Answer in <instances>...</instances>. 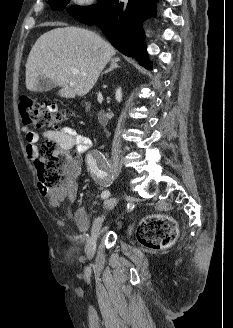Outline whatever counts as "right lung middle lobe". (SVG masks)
<instances>
[{
	"instance_id": "right-lung-middle-lobe-1",
	"label": "right lung middle lobe",
	"mask_w": 233,
	"mask_h": 328,
	"mask_svg": "<svg viewBox=\"0 0 233 328\" xmlns=\"http://www.w3.org/2000/svg\"><path fill=\"white\" fill-rule=\"evenodd\" d=\"M69 3V0H49L53 10H62ZM93 6V5H92ZM91 6L82 7V6H73L69 9L70 13L82 12L89 9Z\"/></svg>"
}]
</instances>
